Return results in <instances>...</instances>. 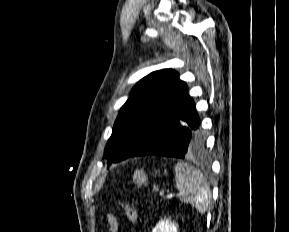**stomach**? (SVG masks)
Instances as JSON below:
<instances>
[{"label":"stomach","mask_w":289,"mask_h":232,"mask_svg":"<svg viewBox=\"0 0 289 232\" xmlns=\"http://www.w3.org/2000/svg\"><path fill=\"white\" fill-rule=\"evenodd\" d=\"M133 182L137 186L147 185L148 178L143 170H136L133 175Z\"/></svg>","instance_id":"0dacf381"}]
</instances>
